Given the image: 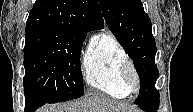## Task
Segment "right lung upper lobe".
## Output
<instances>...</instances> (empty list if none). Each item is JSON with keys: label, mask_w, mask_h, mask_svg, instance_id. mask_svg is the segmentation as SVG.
I'll return each mask as SVG.
<instances>
[{"label": "right lung upper lobe", "mask_w": 193, "mask_h": 112, "mask_svg": "<svg viewBox=\"0 0 193 112\" xmlns=\"http://www.w3.org/2000/svg\"><path fill=\"white\" fill-rule=\"evenodd\" d=\"M103 27L97 0H36L26 22V32L62 29L87 33Z\"/></svg>", "instance_id": "right-lung-upper-lobe-1"}]
</instances>
